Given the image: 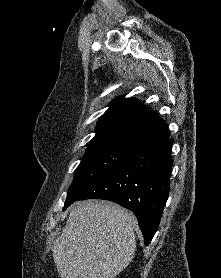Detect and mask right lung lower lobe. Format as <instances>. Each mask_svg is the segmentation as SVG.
I'll return each instance as SVG.
<instances>
[{"instance_id":"obj_1","label":"right lung lower lobe","mask_w":221,"mask_h":278,"mask_svg":"<svg viewBox=\"0 0 221 278\" xmlns=\"http://www.w3.org/2000/svg\"><path fill=\"white\" fill-rule=\"evenodd\" d=\"M172 139L136 146L127 160L103 175L78 200L104 199L131 210L145 245L157 231L169 195Z\"/></svg>"}]
</instances>
